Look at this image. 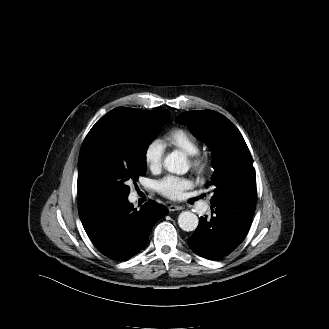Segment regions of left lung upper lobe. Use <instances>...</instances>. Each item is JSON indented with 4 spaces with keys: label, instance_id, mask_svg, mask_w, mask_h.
<instances>
[{
    "label": "left lung upper lobe",
    "instance_id": "obj_1",
    "mask_svg": "<svg viewBox=\"0 0 329 329\" xmlns=\"http://www.w3.org/2000/svg\"><path fill=\"white\" fill-rule=\"evenodd\" d=\"M190 125L192 134L211 147L214 175L206 187L214 186L212 201L227 200L255 171L250 151L239 130L224 115L212 110L187 111L177 117Z\"/></svg>",
    "mask_w": 329,
    "mask_h": 329
}]
</instances>
